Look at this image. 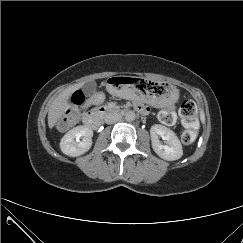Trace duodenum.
<instances>
[{"label":"duodenum","instance_id":"obj_1","mask_svg":"<svg viewBox=\"0 0 243 243\" xmlns=\"http://www.w3.org/2000/svg\"><path fill=\"white\" fill-rule=\"evenodd\" d=\"M126 112L125 109H118L112 107H99L97 109L87 112L84 116V123L90 128H98L107 115L116 114L123 115Z\"/></svg>","mask_w":243,"mask_h":243}]
</instances>
